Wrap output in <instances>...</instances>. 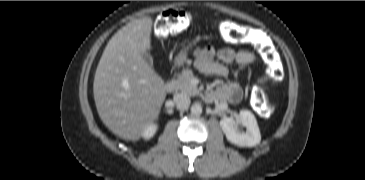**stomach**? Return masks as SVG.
Returning a JSON list of instances; mask_svg holds the SVG:
<instances>
[{
    "label": "stomach",
    "instance_id": "1",
    "mask_svg": "<svg viewBox=\"0 0 365 180\" xmlns=\"http://www.w3.org/2000/svg\"><path fill=\"white\" fill-rule=\"evenodd\" d=\"M192 47V43L189 42L186 47H184L183 51H181L174 59V63L177 66H181L185 63L187 57V51Z\"/></svg>",
    "mask_w": 365,
    "mask_h": 180
}]
</instances>
